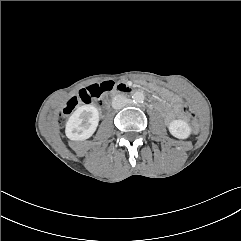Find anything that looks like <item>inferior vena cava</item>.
I'll return each instance as SVG.
<instances>
[{"instance_id": "1", "label": "inferior vena cava", "mask_w": 241, "mask_h": 241, "mask_svg": "<svg viewBox=\"0 0 241 241\" xmlns=\"http://www.w3.org/2000/svg\"><path fill=\"white\" fill-rule=\"evenodd\" d=\"M128 103V99L123 95H116L112 100V107L114 109H121Z\"/></svg>"}]
</instances>
